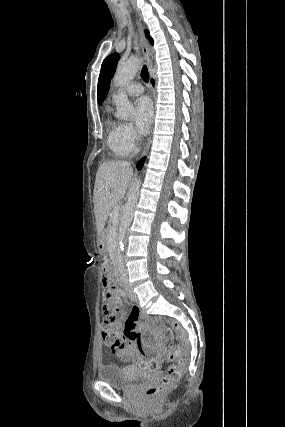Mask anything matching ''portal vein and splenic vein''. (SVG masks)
Wrapping results in <instances>:
<instances>
[{
  "label": "portal vein and splenic vein",
  "mask_w": 285,
  "mask_h": 427,
  "mask_svg": "<svg viewBox=\"0 0 285 427\" xmlns=\"http://www.w3.org/2000/svg\"><path fill=\"white\" fill-rule=\"evenodd\" d=\"M112 215H113L114 220H116L118 218V215H119V207L118 206H115L113 208Z\"/></svg>",
  "instance_id": "1"
}]
</instances>
